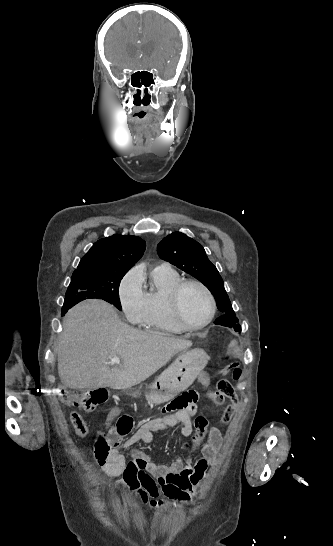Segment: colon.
<instances>
[{"instance_id":"1","label":"colon","mask_w":333,"mask_h":546,"mask_svg":"<svg viewBox=\"0 0 333 546\" xmlns=\"http://www.w3.org/2000/svg\"><path fill=\"white\" fill-rule=\"evenodd\" d=\"M230 348H233L232 353L234 352L236 345L232 342L228 343L224 349L221 360L226 363L231 358L232 353H229ZM224 358H227V361H224ZM242 365L243 362L241 359L236 358L232 363H229L224 368V371L233 376L231 382L233 385L238 386L242 382ZM232 384L224 378L218 380L217 388L212 393V401L217 406L224 405L225 401L228 400L231 403H237V395ZM107 399V394L104 391L96 390L81 395L68 396L63 395L62 401L70 406L82 409L84 411H93L99 405L103 404ZM196 402V395L194 392H187L183 395L177 397L169 407L172 408H181L190 406L194 408ZM71 425L73 426L75 432L79 436L86 435L88 432L87 425L83 417L76 413L72 412L69 415ZM195 433L193 436L194 446L198 447L206 439L208 433V421L207 418L200 414L195 419ZM130 431V424L121 418L116 422L113 427L112 433L104 434L100 433L95 441L94 445V454L97 460H103L109 456V453L113 446L117 444L118 437L125 436Z\"/></svg>"}]
</instances>
